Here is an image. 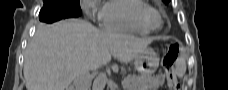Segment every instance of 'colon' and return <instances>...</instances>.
Here are the masks:
<instances>
[{
	"instance_id": "1",
	"label": "colon",
	"mask_w": 228,
	"mask_h": 90,
	"mask_svg": "<svg viewBox=\"0 0 228 90\" xmlns=\"http://www.w3.org/2000/svg\"><path fill=\"white\" fill-rule=\"evenodd\" d=\"M179 54V46L177 43H171L165 52L163 58V65L166 71L168 88L170 90H180L175 72H174V63Z\"/></svg>"
}]
</instances>
